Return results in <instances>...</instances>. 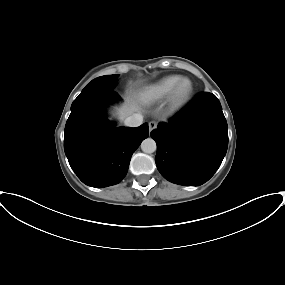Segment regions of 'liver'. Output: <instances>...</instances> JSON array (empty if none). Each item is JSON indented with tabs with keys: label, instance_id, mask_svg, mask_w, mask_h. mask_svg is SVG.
Returning <instances> with one entry per match:
<instances>
[{
	"label": "liver",
	"instance_id": "obj_1",
	"mask_svg": "<svg viewBox=\"0 0 285 285\" xmlns=\"http://www.w3.org/2000/svg\"><path fill=\"white\" fill-rule=\"evenodd\" d=\"M137 110H138V108H137L136 104L131 103V102H127L123 106H121L120 108L117 109L116 114L118 115L119 119H124L127 116L136 112Z\"/></svg>",
	"mask_w": 285,
	"mask_h": 285
}]
</instances>
